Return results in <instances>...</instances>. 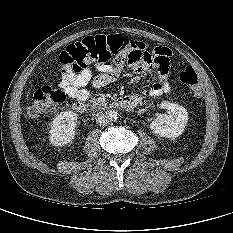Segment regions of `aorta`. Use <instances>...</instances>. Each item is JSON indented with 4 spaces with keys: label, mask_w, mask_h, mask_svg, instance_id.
Listing matches in <instances>:
<instances>
[{
    "label": "aorta",
    "mask_w": 233,
    "mask_h": 233,
    "mask_svg": "<svg viewBox=\"0 0 233 233\" xmlns=\"http://www.w3.org/2000/svg\"><path fill=\"white\" fill-rule=\"evenodd\" d=\"M106 116L110 122H114L119 118V112L116 109H110L106 112Z\"/></svg>",
    "instance_id": "aorta-1"
}]
</instances>
